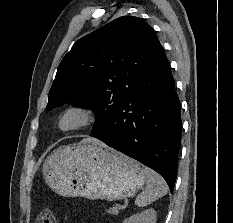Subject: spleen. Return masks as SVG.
<instances>
[{
    "mask_svg": "<svg viewBox=\"0 0 233 223\" xmlns=\"http://www.w3.org/2000/svg\"><path fill=\"white\" fill-rule=\"evenodd\" d=\"M146 189L139 193L135 199L136 205L139 207H144V205H148V203H152V201H156L158 197H162L167 193V185L165 179L153 171V169H149L146 167Z\"/></svg>",
    "mask_w": 233,
    "mask_h": 223,
    "instance_id": "spleen-1",
    "label": "spleen"
}]
</instances>
